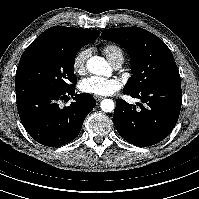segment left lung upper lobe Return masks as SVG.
<instances>
[{
    "mask_svg": "<svg viewBox=\"0 0 199 199\" xmlns=\"http://www.w3.org/2000/svg\"><path fill=\"white\" fill-rule=\"evenodd\" d=\"M101 37L121 45L129 54L132 76L124 90L140 92L160 83L180 81L172 52L153 33L140 27L111 28Z\"/></svg>",
    "mask_w": 199,
    "mask_h": 199,
    "instance_id": "5c2ea615",
    "label": "left lung upper lobe"
}]
</instances>
